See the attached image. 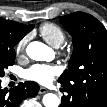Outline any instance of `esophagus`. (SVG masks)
Returning <instances> with one entry per match:
<instances>
[{"mask_svg": "<svg viewBox=\"0 0 107 107\" xmlns=\"http://www.w3.org/2000/svg\"><path fill=\"white\" fill-rule=\"evenodd\" d=\"M46 92H48V90L45 87L39 88V94H45Z\"/></svg>", "mask_w": 107, "mask_h": 107, "instance_id": "obj_1", "label": "esophagus"}]
</instances>
